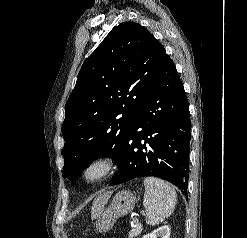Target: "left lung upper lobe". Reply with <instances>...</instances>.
<instances>
[{"mask_svg":"<svg viewBox=\"0 0 247 238\" xmlns=\"http://www.w3.org/2000/svg\"><path fill=\"white\" fill-rule=\"evenodd\" d=\"M168 55L138 23L115 26L85 60L66 102L63 177L76 180L94 159L118 165L131 126Z\"/></svg>","mask_w":247,"mask_h":238,"instance_id":"left-lung-upper-lobe-1","label":"left lung upper lobe"}]
</instances>
